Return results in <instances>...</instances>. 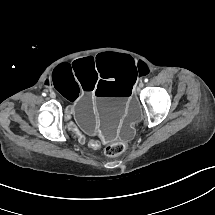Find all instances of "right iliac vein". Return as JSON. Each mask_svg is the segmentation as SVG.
<instances>
[{"label":"right iliac vein","instance_id":"obj_1","mask_svg":"<svg viewBox=\"0 0 215 215\" xmlns=\"http://www.w3.org/2000/svg\"><path fill=\"white\" fill-rule=\"evenodd\" d=\"M50 97L54 99V98H56V94L54 92H51Z\"/></svg>","mask_w":215,"mask_h":215}]
</instances>
